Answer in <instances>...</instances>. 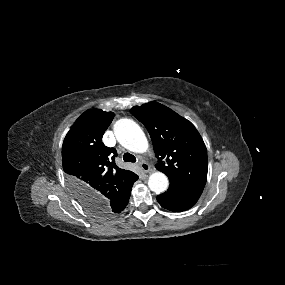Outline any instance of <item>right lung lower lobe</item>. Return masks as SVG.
I'll use <instances>...</instances> for the list:
<instances>
[{"label": "right lung lower lobe", "instance_id": "obj_1", "mask_svg": "<svg viewBox=\"0 0 285 285\" xmlns=\"http://www.w3.org/2000/svg\"><path fill=\"white\" fill-rule=\"evenodd\" d=\"M133 184L131 185V187H129L124 194H122V196H120L118 199L111 201L109 204H106L104 201H98L96 202L97 207L100 208H105L108 211H110V213L113 214H118L121 211H123L125 209V207L127 206L128 202H129V198L131 195V189H132Z\"/></svg>", "mask_w": 285, "mask_h": 285}]
</instances>
